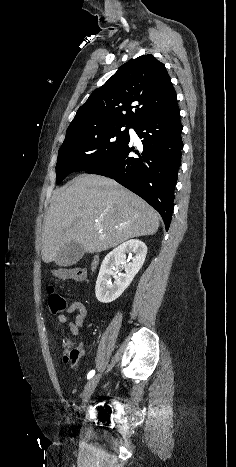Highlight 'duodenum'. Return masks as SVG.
<instances>
[{"label": "duodenum", "mask_w": 236, "mask_h": 467, "mask_svg": "<svg viewBox=\"0 0 236 467\" xmlns=\"http://www.w3.org/2000/svg\"><path fill=\"white\" fill-rule=\"evenodd\" d=\"M98 264V258L95 257L91 263V268L94 269Z\"/></svg>", "instance_id": "duodenum-1"}]
</instances>
